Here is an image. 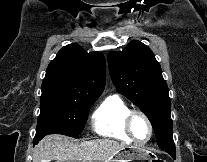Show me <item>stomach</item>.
<instances>
[{
  "label": "stomach",
  "mask_w": 207,
  "mask_h": 162,
  "mask_svg": "<svg viewBox=\"0 0 207 162\" xmlns=\"http://www.w3.org/2000/svg\"><path fill=\"white\" fill-rule=\"evenodd\" d=\"M133 160H158L156 157H152L151 153L147 150L126 147L118 152L115 157L108 162H131ZM73 162V161H71Z\"/></svg>",
  "instance_id": "stomach-1"
}]
</instances>
